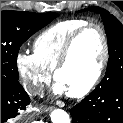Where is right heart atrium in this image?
<instances>
[{
  "instance_id": "d8ad5b80",
  "label": "right heart atrium",
  "mask_w": 123,
  "mask_h": 123,
  "mask_svg": "<svg viewBox=\"0 0 123 123\" xmlns=\"http://www.w3.org/2000/svg\"><path fill=\"white\" fill-rule=\"evenodd\" d=\"M15 65L25 89L30 94L39 93L51 78V71L43 66L33 53L18 52Z\"/></svg>"
}]
</instances>
